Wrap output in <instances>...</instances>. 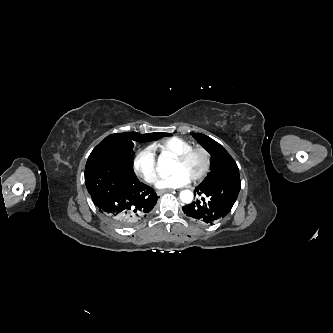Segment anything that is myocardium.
<instances>
[{"label":"myocardium","mask_w":333,"mask_h":333,"mask_svg":"<svg viewBox=\"0 0 333 333\" xmlns=\"http://www.w3.org/2000/svg\"><path fill=\"white\" fill-rule=\"evenodd\" d=\"M194 153L202 154L203 157H204V161H205L204 162V167L201 170V172L196 177L191 179L192 182L198 183V182L202 181L207 176V174L210 171L211 164H212L211 154L206 148L200 147V146L191 147L188 150H186V151L182 152L181 154H179L178 156H176L175 161H177L179 163H184Z\"/></svg>","instance_id":"f54148a6"}]
</instances>
